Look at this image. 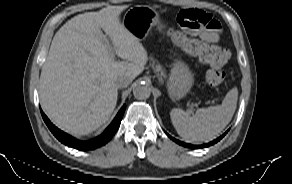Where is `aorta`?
I'll use <instances>...</instances> for the list:
<instances>
[{"instance_id": "obj_1", "label": "aorta", "mask_w": 292, "mask_h": 184, "mask_svg": "<svg viewBox=\"0 0 292 184\" xmlns=\"http://www.w3.org/2000/svg\"><path fill=\"white\" fill-rule=\"evenodd\" d=\"M133 95L136 99H148L151 95V87L147 83L139 81L133 87Z\"/></svg>"}]
</instances>
